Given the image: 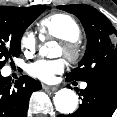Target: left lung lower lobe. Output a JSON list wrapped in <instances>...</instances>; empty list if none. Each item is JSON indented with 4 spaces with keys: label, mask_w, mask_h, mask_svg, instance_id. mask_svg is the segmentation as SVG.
Instances as JSON below:
<instances>
[{
    "label": "left lung lower lobe",
    "mask_w": 117,
    "mask_h": 117,
    "mask_svg": "<svg viewBox=\"0 0 117 117\" xmlns=\"http://www.w3.org/2000/svg\"><path fill=\"white\" fill-rule=\"evenodd\" d=\"M67 81H72L68 77ZM80 90L83 96L79 109L70 115L58 117H111L117 108V74L94 77Z\"/></svg>",
    "instance_id": "0a47b994"
}]
</instances>
